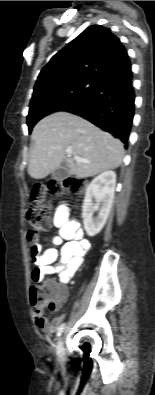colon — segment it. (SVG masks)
I'll return each instance as SVG.
<instances>
[{
	"instance_id": "obj_1",
	"label": "colon",
	"mask_w": 155,
	"mask_h": 395,
	"mask_svg": "<svg viewBox=\"0 0 155 395\" xmlns=\"http://www.w3.org/2000/svg\"><path fill=\"white\" fill-rule=\"evenodd\" d=\"M86 182L76 177H67L62 180H52L46 186H36L32 192V203L26 214L30 230L27 235L29 247L32 240L40 239V234L51 228V203L50 194L63 195L75 194L84 189ZM33 261V260H32ZM62 296V288L50 280L33 281L30 289V300L35 308L42 307L47 301L53 309L54 301Z\"/></svg>"
}]
</instances>
